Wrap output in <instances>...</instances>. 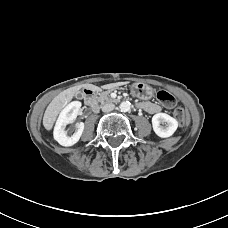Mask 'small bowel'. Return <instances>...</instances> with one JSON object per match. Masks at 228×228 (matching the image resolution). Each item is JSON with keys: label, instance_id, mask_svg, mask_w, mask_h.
I'll return each mask as SVG.
<instances>
[{"label": "small bowel", "instance_id": "obj_1", "mask_svg": "<svg viewBox=\"0 0 228 228\" xmlns=\"http://www.w3.org/2000/svg\"><path fill=\"white\" fill-rule=\"evenodd\" d=\"M137 106L150 114H156L161 111L160 105L151 101L138 103Z\"/></svg>", "mask_w": 228, "mask_h": 228}]
</instances>
